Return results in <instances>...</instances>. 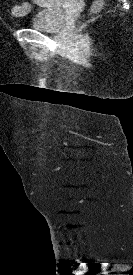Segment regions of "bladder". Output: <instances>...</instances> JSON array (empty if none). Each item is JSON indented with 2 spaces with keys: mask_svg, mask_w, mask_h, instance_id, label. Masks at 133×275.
<instances>
[{
  "mask_svg": "<svg viewBox=\"0 0 133 275\" xmlns=\"http://www.w3.org/2000/svg\"><path fill=\"white\" fill-rule=\"evenodd\" d=\"M53 2L54 5L39 9L32 15L29 23L30 28L45 32H57L60 29L64 21V14L60 6L62 0H53Z\"/></svg>",
  "mask_w": 133,
  "mask_h": 275,
  "instance_id": "obj_1",
  "label": "bladder"
}]
</instances>
